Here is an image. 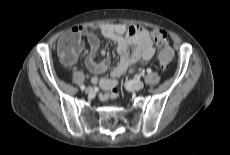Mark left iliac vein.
Here are the masks:
<instances>
[{"mask_svg":"<svg viewBox=\"0 0 230 155\" xmlns=\"http://www.w3.org/2000/svg\"><path fill=\"white\" fill-rule=\"evenodd\" d=\"M125 87L129 91L141 90L144 87V83L140 80H130L126 82Z\"/></svg>","mask_w":230,"mask_h":155,"instance_id":"obj_1","label":"left iliac vein"}]
</instances>
